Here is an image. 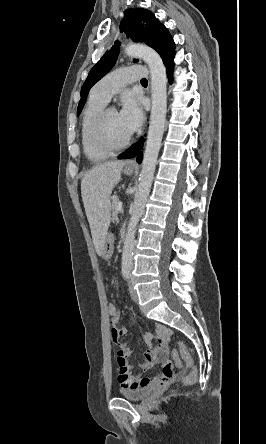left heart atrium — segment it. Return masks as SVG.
Wrapping results in <instances>:
<instances>
[{
    "instance_id": "left-heart-atrium-1",
    "label": "left heart atrium",
    "mask_w": 266,
    "mask_h": 444,
    "mask_svg": "<svg viewBox=\"0 0 266 444\" xmlns=\"http://www.w3.org/2000/svg\"><path fill=\"white\" fill-rule=\"evenodd\" d=\"M118 114L120 121L129 134L135 132L143 121V112L140 104L132 98L124 100L122 108Z\"/></svg>"
}]
</instances>
